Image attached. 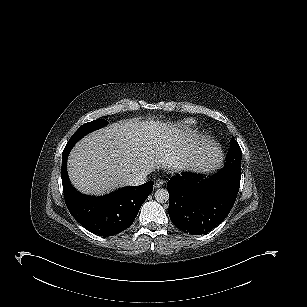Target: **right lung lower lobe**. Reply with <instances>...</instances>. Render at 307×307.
<instances>
[{
	"label": "right lung lower lobe",
	"mask_w": 307,
	"mask_h": 307,
	"mask_svg": "<svg viewBox=\"0 0 307 307\" xmlns=\"http://www.w3.org/2000/svg\"><path fill=\"white\" fill-rule=\"evenodd\" d=\"M71 148L62 154L61 177L64 197L74 218L86 229L100 236H112L131 226L138 211L153 191V181L140 186L124 187L102 197L85 196L70 183L67 157Z\"/></svg>",
	"instance_id": "right-lung-lower-lobe-1"
}]
</instances>
